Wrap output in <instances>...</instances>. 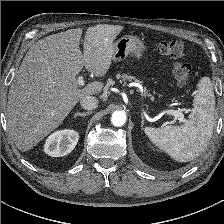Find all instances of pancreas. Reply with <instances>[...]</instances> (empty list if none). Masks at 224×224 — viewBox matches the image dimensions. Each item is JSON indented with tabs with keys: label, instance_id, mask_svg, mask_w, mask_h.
Instances as JSON below:
<instances>
[{
	"label": "pancreas",
	"instance_id": "pancreas-1",
	"mask_svg": "<svg viewBox=\"0 0 224 224\" xmlns=\"http://www.w3.org/2000/svg\"><path fill=\"white\" fill-rule=\"evenodd\" d=\"M120 77L123 78L124 81L125 80H127V81L134 80V81L140 82L137 78H135L134 76L128 75V74H122V75L117 74V78H120Z\"/></svg>",
	"mask_w": 224,
	"mask_h": 224
}]
</instances>
